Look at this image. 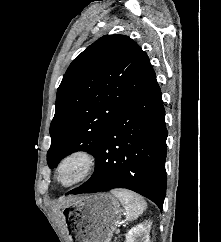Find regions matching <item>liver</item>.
I'll return each instance as SVG.
<instances>
[{"instance_id": "liver-1", "label": "liver", "mask_w": 221, "mask_h": 242, "mask_svg": "<svg viewBox=\"0 0 221 242\" xmlns=\"http://www.w3.org/2000/svg\"><path fill=\"white\" fill-rule=\"evenodd\" d=\"M69 201H70V200L62 202L60 206L68 204Z\"/></svg>"}]
</instances>
